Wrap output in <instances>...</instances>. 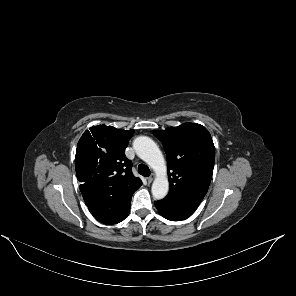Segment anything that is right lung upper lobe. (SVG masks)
Masks as SVG:
<instances>
[{"label":"right lung upper lobe","instance_id":"obj_1","mask_svg":"<svg viewBox=\"0 0 296 296\" xmlns=\"http://www.w3.org/2000/svg\"><path fill=\"white\" fill-rule=\"evenodd\" d=\"M134 130L92 126L80 138L75 168L83 196H121L136 191L142 181L131 172L124 151Z\"/></svg>","mask_w":296,"mask_h":296}]
</instances>
